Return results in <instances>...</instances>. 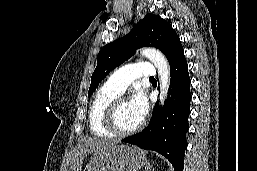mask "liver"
Wrapping results in <instances>:
<instances>
[{
  "mask_svg": "<svg viewBox=\"0 0 257 171\" xmlns=\"http://www.w3.org/2000/svg\"><path fill=\"white\" fill-rule=\"evenodd\" d=\"M118 143L117 140L99 138H83L72 151L68 159L66 171H81L83 159L86 155L100 152Z\"/></svg>",
  "mask_w": 257,
  "mask_h": 171,
  "instance_id": "1",
  "label": "liver"
}]
</instances>
